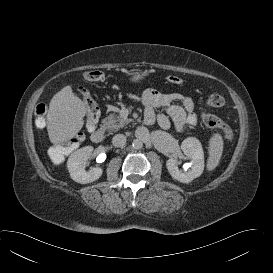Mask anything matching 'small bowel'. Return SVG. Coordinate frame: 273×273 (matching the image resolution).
Returning <instances> with one entry per match:
<instances>
[{
	"instance_id": "obj_1",
	"label": "small bowel",
	"mask_w": 273,
	"mask_h": 273,
	"mask_svg": "<svg viewBox=\"0 0 273 273\" xmlns=\"http://www.w3.org/2000/svg\"><path fill=\"white\" fill-rule=\"evenodd\" d=\"M180 101L182 105L174 102ZM145 106V123L151 124L157 121L158 125L168 130L171 124L178 131H183L187 126L197 124V115L194 112L195 103L190 97L178 93H160L156 90H147L142 95ZM165 108L167 115L156 114V108Z\"/></svg>"
}]
</instances>
